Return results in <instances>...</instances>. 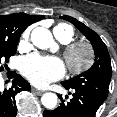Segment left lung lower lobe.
<instances>
[{
	"instance_id": "0a47b994",
	"label": "left lung lower lobe",
	"mask_w": 117,
	"mask_h": 117,
	"mask_svg": "<svg viewBox=\"0 0 117 117\" xmlns=\"http://www.w3.org/2000/svg\"><path fill=\"white\" fill-rule=\"evenodd\" d=\"M63 86L67 90L73 91V98L65 103L62 97H60L62 101L60 106L52 111H44V117H93L104 102L83 89Z\"/></svg>"
}]
</instances>
